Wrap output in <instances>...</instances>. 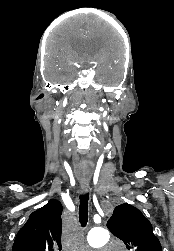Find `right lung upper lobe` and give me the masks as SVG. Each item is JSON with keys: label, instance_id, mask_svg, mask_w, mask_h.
Returning a JSON list of instances; mask_svg holds the SVG:
<instances>
[{"label": "right lung upper lobe", "instance_id": "1", "mask_svg": "<svg viewBox=\"0 0 174 251\" xmlns=\"http://www.w3.org/2000/svg\"><path fill=\"white\" fill-rule=\"evenodd\" d=\"M62 210L61 203L51 199L34 211L17 233L12 251L61 250Z\"/></svg>", "mask_w": 174, "mask_h": 251}]
</instances>
